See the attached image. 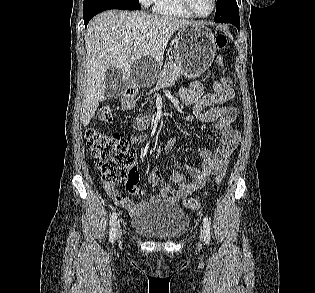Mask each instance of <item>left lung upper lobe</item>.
Masks as SVG:
<instances>
[{
    "instance_id": "5c2ea615",
    "label": "left lung upper lobe",
    "mask_w": 315,
    "mask_h": 293,
    "mask_svg": "<svg viewBox=\"0 0 315 293\" xmlns=\"http://www.w3.org/2000/svg\"><path fill=\"white\" fill-rule=\"evenodd\" d=\"M240 21L236 0H217L215 22L236 24Z\"/></svg>"
}]
</instances>
